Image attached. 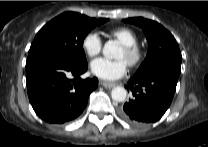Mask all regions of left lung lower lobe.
I'll use <instances>...</instances> for the list:
<instances>
[{
  "label": "left lung lower lobe",
  "instance_id": "0a47b994",
  "mask_svg": "<svg viewBox=\"0 0 208 147\" xmlns=\"http://www.w3.org/2000/svg\"><path fill=\"white\" fill-rule=\"evenodd\" d=\"M178 78L169 70L133 76L125 86L133 97L119 109L120 117L133 125L158 121L172 102Z\"/></svg>",
  "mask_w": 208,
  "mask_h": 147
}]
</instances>
